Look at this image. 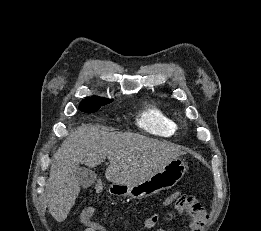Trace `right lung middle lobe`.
Masks as SVG:
<instances>
[{"label": "right lung middle lobe", "mask_w": 261, "mask_h": 231, "mask_svg": "<svg viewBox=\"0 0 261 231\" xmlns=\"http://www.w3.org/2000/svg\"><path fill=\"white\" fill-rule=\"evenodd\" d=\"M113 100L101 97H89L84 99L79 109L83 112L92 113L96 112L100 106L111 103Z\"/></svg>", "instance_id": "1"}]
</instances>
